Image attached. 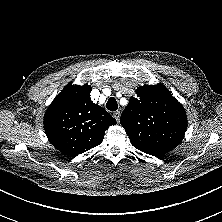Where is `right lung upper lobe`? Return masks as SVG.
Masks as SVG:
<instances>
[{
  "label": "right lung upper lobe",
  "instance_id": "cb5924a9",
  "mask_svg": "<svg viewBox=\"0 0 222 222\" xmlns=\"http://www.w3.org/2000/svg\"><path fill=\"white\" fill-rule=\"evenodd\" d=\"M91 86H65L44 116L50 143L62 153L77 156L101 144L116 120L90 99Z\"/></svg>",
  "mask_w": 222,
  "mask_h": 222
}]
</instances>
